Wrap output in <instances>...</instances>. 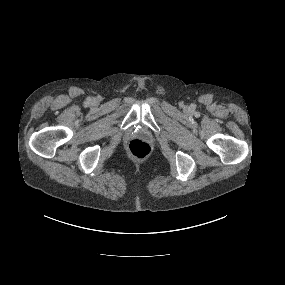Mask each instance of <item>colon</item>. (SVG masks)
Listing matches in <instances>:
<instances>
[{"label": "colon", "mask_w": 285, "mask_h": 285, "mask_svg": "<svg viewBox=\"0 0 285 285\" xmlns=\"http://www.w3.org/2000/svg\"><path fill=\"white\" fill-rule=\"evenodd\" d=\"M128 148L130 154L137 159L146 158L151 152L150 145L146 141L141 139L132 140L129 143Z\"/></svg>", "instance_id": "5ec220e1"}]
</instances>
